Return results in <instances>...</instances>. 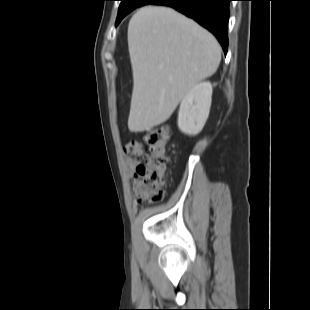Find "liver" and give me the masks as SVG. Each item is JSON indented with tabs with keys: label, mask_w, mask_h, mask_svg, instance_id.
I'll list each match as a JSON object with an SVG mask.
<instances>
[{
	"label": "liver",
	"mask_w": 310,
	"mask_h": 310,
	"mask_svg": "<svg viewBox=\"0 0 310 310\" xmlns=\"http://www.w3.org/2000/svg\"><path fill=\"white\" fill-rule=\"evenodd\" d=\"M128 48L133 70L131 132L167 121L189 90L212 76L221 61L215 37L167 7L145 6L132 16Z\"/></svg>",
	"instance_id": "6515ba94"
}]
</instances>
